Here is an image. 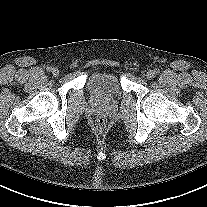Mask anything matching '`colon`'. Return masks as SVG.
I'll list each match as a JSON object with an SVG mask.
<instances>
[{
    "instance_id": "5ec220e1",
    "label": "colon",
    "mask_w": 207,
    "mask_h": 207,
    "mask_svg": "<svg viewBox=\"0 0 207 207\" xmlns=\"http://www.w3.org/2000/svg\"><path fill=\"white\" fill-rule=\"evenodd\" d=\"M104 125H105V120H104L103 118H99V119L97 120V126H98L99 128H103Z\"/></svg>"
}]
</instances>
